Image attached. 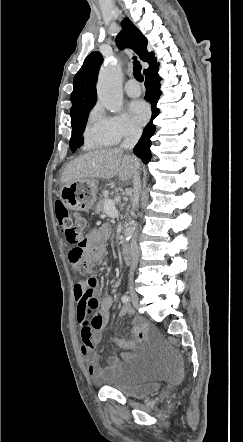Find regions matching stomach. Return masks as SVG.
Listing matches in <instances>:
<instances>
[{"instance_id":"obj_1","label":"stomach","mask_w":243,"mask_h":442,"mask_svg":"<svg viewBox=\"0 0 243 442\" xmlns=\"http://www.w3.org/2000/svg\"><path fill=\"white\" fill-rule=\"evenodd\" d=\"M97 186L95 179L73 180L61 188L59 197L68 209L87 212L96 201Z\"/></svg>"}]
</instances>
